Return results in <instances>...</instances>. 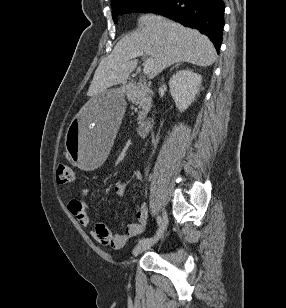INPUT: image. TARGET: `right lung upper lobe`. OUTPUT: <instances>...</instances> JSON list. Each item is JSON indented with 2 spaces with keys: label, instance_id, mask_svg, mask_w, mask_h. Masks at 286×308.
I'll return each instance as SVG.
<instances>
[{
  "label": "right lung upper lobe",
  "instance_id": "right-lung-upper-lobe-1",
  "mask_svg": "<svg viewBox=\"0 0 286 308\" xmlns=\"http://www.w3.org/2000/svg\"><path fill=\"white\" fill-rule=\"evenodd\" d=\"M117 0H111L112 4H114Z\"/></svg>",
  "mask_w": 286,
  "mask_h": 308
}]
</instances>
